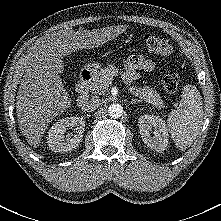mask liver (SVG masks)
Wrapping results in <instances>:
<instances>
[{
	"label": "liver",
	"instance_id": "6515ba94",
	"mask_svg": "<svg viewBox=\"0 0 221 221\" xmlns=\"http://www.w3.org/2000/svg\"><path fill=\"white\" fill-rule=\"evenodd\" d=\"M125 30V26L77 32L66 28L45 36L31 50L16 97L18 125L30 146L37 148L48 124L71 105L59 75L63 57L99 47Z\"/></svg>",
	"mask_w": 221,
	"mask_h": 221
}]
</instances>
